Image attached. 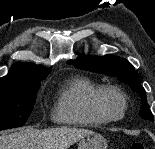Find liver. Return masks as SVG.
I'll use <instances>...</instances> for the list:
<instances>
[{"label": "liver", "instance_id": "1", "mask_svg": "<svg viewBox=\"0 0 155 149\" xmlns=\"http://www.w3.org/2000/svg\"><path fill=\"white\" fill-rule=\"evenodd\" d=\"M90 133L93 131L66 126L46 130L26 128L0 136V149H68Z\"/></svg>", "mask_w": 155, "mask_h": 149}]
</instances>
